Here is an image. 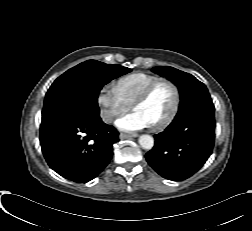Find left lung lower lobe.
<instances>
[{
	"instance_id": "obj_1",
	"label": "left lung lower lobe",
	"mask_w": 252,
	"mask_h": 231,
	"mask_svg": "<svg viewBox=\"0 0 252 231\" xmlns=\"http://www.w3.org/2000/svg\"><path fill=\"white\" fill-rule=\"evenodd\" d=\"M212 101L194 102L179 109L172 123L154 135L146 154L148 164L162 177L184 180L196 173L211 155L215 138Z\"/></svg>"
}]
</instances>
